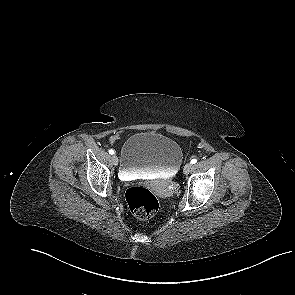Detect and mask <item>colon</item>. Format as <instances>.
Returning <instances> with one entry per match:
<instances>
[{"mask_svg": "<svg viewBox=\"0 0 295 295\" xmlns=\"http://www.w3.org/2000/svg\"><path fill=\"white\" fill-rule=\"evenodd\" d=\"M125 199L131 213L140 220L151 218L159 208L156 196L143 187L135 186L128 188Z\"/></svg>", "mask_w": 295, "mask_h": 295, "instance_id": "colon-1", "label": "colon"}]
</instances>
